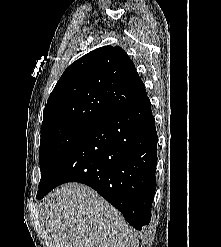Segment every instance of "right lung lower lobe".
I'll return each mask as SVG.
<instances>
[{
    "instance_id": "obj_1",
    "label": "right lung lower lobe",
    "mask_w": 221,
    "mask_h": 247,
    "mask_svg": "<svg viewBox=\"0 0 221 247\" xmlns=\"http://www.w3.org/2000/svg\"><path fill=\"white\" fill-rule=\"evenodd\" d=\"M157 132L150 100L118 111L92 127L66 153L37 192L42 199L66 182L95 189L135 229L149 224L156 190Z\"/></svg>"
}]
</instances>
